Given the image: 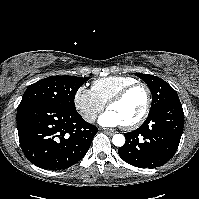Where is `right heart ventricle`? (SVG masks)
Returning a JSON list of instances; mask_svg holds the SVG:
<instances>
[{"instance_id":"1","label":"right heart ventricle","mask_w":199,"mask_h":199,"mask_svg":"<svg viewBox=\"0 0 199 199\" xmlns=\"http://www.w3.org/2000/svg\"><path fill=\"white\" fill-rule=\"evenodd\" d=\"M133 82H135V80L131 77L109 76L95 80L92 83L91 91L97 99L105 105L122 88Z\"/></svg>"}]
</instances>
